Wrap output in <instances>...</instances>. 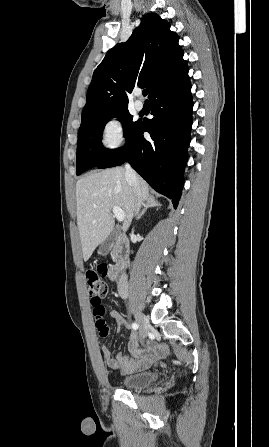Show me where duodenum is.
I'll use <instances>...</instances> for the list:
<instances>
[{"mask_svg":"<svg viewBox=\"0 0 269 447\" xmlns=\"http://www.w3.org/2000/svg\"><path fill=\"white\" fill-rule=\"evenodd\" d=\"M115 257V263L108 270V276L113 282L120 279L121 275L129 265V243L123 236L117 238L115 244Z\"/></svg>","mask_w":269,"mask_h":447,"instance_id":"410a0bca","label":"duodenum"}]
</instances>
